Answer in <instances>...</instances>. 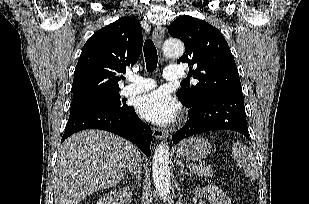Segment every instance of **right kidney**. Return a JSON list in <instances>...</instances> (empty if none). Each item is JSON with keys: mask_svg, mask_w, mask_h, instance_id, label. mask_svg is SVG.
Wrapping results in <instances>:
<instances>
[{"mask_svg": "<svg viewBox=\"0 0 309 204\" xmlns=\"http://www.w3.org/2000/svg\"><path fill=\"white\" fill-rule=\"evenodd\" d=\"M132 199V191L129 187L121 188L118 191H110L105 194L97 204H130Z\"/></svg>", "mask_w": 309, "mask_h": 204, "instance_id": "1", "label": "right kidney"}]
</instances>
